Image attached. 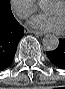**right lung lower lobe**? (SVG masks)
<instances>
[{
  "instance_id": "obj_1",
  "label": "right lung lower lobe",
  "mask_w": 65,
  "mask_h": 89,
  "mask_svg": "<svg viewBox=\"0 0 65 89\" xmlns=\"http://www.w3.org/2000/svg\"><path fill=\"white\" fill-rule=\"evenodd\" d=\"M23 36L24 28L13 14L0 10V71L11 65L17 45Z\"/></svg>"
}]
</instances>
